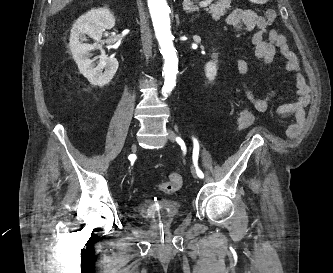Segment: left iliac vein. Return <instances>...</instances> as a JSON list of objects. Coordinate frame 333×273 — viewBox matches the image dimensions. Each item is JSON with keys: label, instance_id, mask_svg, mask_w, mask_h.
Instances as JSON below:
<instances>
[{"label": "left iliac vein", "instance_id": "1", "mask_svg": "<svg viewBox=\"0 0 333 273\" xmlns=\"http://www.w3.org/2000/svg\"><path fill=\"white\" fill-rule=\"evenodd\" d=\"M167 134H168V138H169L170 140L175 141L176 134H175V132H174L173 130H171V129H167ZM191 172H192L193 176H194L195 178H197V175H196V173H195V171H194L193 169H191Z\"/></svg>", "mask_w": 333, "mask_h": 273}]
</instances>
